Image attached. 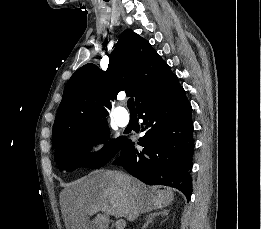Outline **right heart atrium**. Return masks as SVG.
I'll list each match as a JSON object with an SVG mask.
<instances>
[{
	"instance_id": "obj_1",
	"label": "right heart atrium",
	"mask_w": 261,
	"mask_h": 229,
	"mask_svg": "<svg viewBox=\"0 0 261 229\" xmlns=\"http://www.w3.org/2000/svg\"><path fill=\"white\" fill-rule=\"evenodd\" d=\"M107 145V136L105 134H97L94 136L91 146L92 151L96 156H99L103 153Z\"/></svg>"
}]
</instances>
